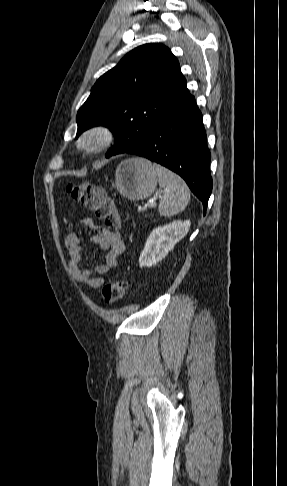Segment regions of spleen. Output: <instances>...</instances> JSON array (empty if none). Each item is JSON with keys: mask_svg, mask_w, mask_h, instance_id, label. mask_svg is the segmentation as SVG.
<instances>
[{"mask_svg": "<svg viewBox=\"0 0 287 486\" xmlns=\"http://www.w3.org/2000/svg\"><path fill=\"white\" fill-rule=\"evenodd\" d=\"M154 168L158 174L159 185L163 188L158 206L159 214L171 217L182 212L190 200L187 184L180 176L163 166L154 164Z\"/></svg>", "mask_w": 287, "mask_h": 486, "instance_id": "spleen-1", "label": "spleen"}]
</instances>
